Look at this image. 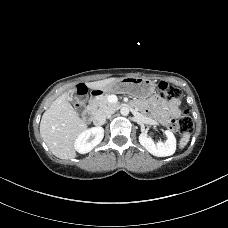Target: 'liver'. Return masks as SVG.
Wrapping results in <instances>:
<instances>
[{"label":"liver","instance_id":"obj_1","mask_svg":"<svg viewBox=\"0 0 228 228\" xmlns=\"http://www.w3.org/2000/svg\"><path fill=\"white\" fill-rule=\"evenodd\" d=\"M118 78H108L86 83L87 87L100 89ZM65 92L56 98L44 112L40 122V134L50 151L60 159L76 157L74 143L76 138L87 128V124L79 118Z\"/></svg>","mask_w":228,"mask_h":228}]
</instances>
